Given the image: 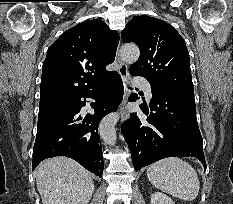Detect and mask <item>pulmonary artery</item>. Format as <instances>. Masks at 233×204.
<instances>
[{
	"instance_id": "1",
	"label": "pulmonary artery",
	"mask_w": 233,
	"mask_h": 204,
	"mask_svg": "<svg viewBox=\"0 0 233 204\" xmlns=\"http://www.w3.org/2000/svg\"><path fill=\"white\" fill-rule=\"evenodd\" d=\"M135 81H136L137 84H139L143 88L146 97L148 99H151L152 92H151V85H150V83L145 78H143V77H138V78H136Z\"/></svg>"
}]
</instances>
